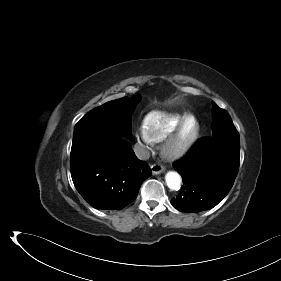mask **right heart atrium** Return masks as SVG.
Returning <instances> with one entry per match:
<instances>
[{
    "instance_id": "1",
    "label": "right heart atrium",
    "mask_w": 281,
    "mask_h": 281,
    "mask_svg": "<svg viewBox=\"0 0 281 281\" xmlns=\"http://www.w3.org/2000/svg\"><path fill=\"white\" fill-rule=\"evenodd\" d=\"M137 138L144 147H148L152 143V141L148 138L143 128L138 130Z\"/></svg>"
}]
</instances>
